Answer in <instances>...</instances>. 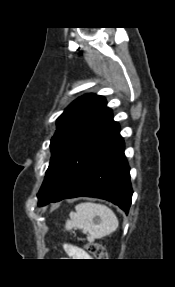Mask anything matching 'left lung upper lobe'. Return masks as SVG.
Returning a JSON list of instances; mask_svg holds the SVG:
<instances>
[{
	"instance_id": "5c2ea615",
	"label": "left lung upper lobe",
	"mask_w": 175,
	"mask_h": 287,
	"mask_svg": "<svg viewBox=\"0 0 175 287\" xmlns=\"http://www.w3.org/2000/svg\"><path fill=\"white\" fill-rule=\"evenodd\" d=\"M103 96L86 94L73 101L57 119L51 139V159L39 190L38 205L54 200L119 136Z\"/></svg>"
}]
</instances>
